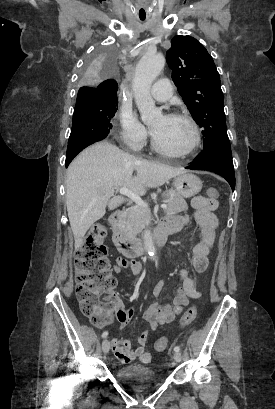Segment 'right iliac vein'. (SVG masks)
Listing matches in <instances>:
<instances>
[{
    "label": "right iliac vein",
    "mask_w": 275,
    "mask_h": 409,
    "mask_svg": "<svg viewBox=\"0 0 275 409\" xmlns=\"http://www.w3.org/2000/svg\"><path fill=\"white\" fill-rule=\"evenodd\" d=\"M109 350H110V342L107 339H105L102 342V351L104 354H107Z\"/></svg>",
    "instance_id": "right-iliac-vein-1"
}]
</instances>
